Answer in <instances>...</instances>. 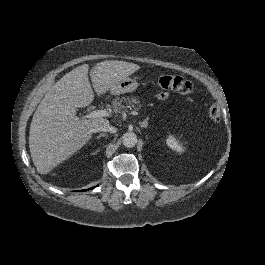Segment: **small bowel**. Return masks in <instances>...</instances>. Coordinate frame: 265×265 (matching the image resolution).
I'll list each match as a JSON object with an SVG mask.
<instances>
[{
    "label": "small bowel",
    "instance_id": "obj_1",
    "mask_svg": "<svg viewBox=\"0 0 265 265\" xmlns=\"http://www.w3.org/2000/svg\"><path fill=\"white\" fill-rule=\"evenodd\" d=\"M168 96H169V94L166 92L158 94L159 99H166Z\"/></svg>",
    "mask_w": 265,
    "mask_h": 265
}]
</instances>
